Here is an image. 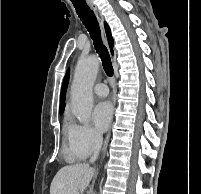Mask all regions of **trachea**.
I'll use <instances>...</instances> for the list:
<instances>
[{
  "instance_id": "trachea-1",
  "label": "trachea",
  "mask_w": 201,
  "mask_h": 194,
  "mask_svg": "<svg viewBox=\"0 0 201 194\" xmlns=\"http://www.w3.org/2000/svg\"><path fill=\"white\" fill-rule=\"evenodd\" d=\"M73 1V0H72ZM76 12L89 32L96 52L98 53L104 71L108 76H113V67L110 59L109 52L102 42L101 31L94 12L89 8L86 2H72Z\"/></svg>"
}]
</instances>
